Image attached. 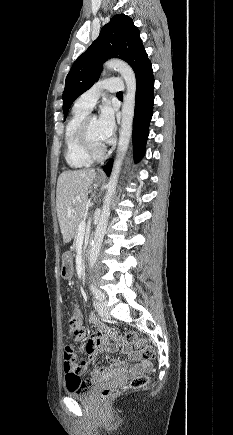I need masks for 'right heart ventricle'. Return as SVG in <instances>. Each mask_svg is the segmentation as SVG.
Segmentation results:
<instances>
[{
	"label": "right heart ventricle",
	"instance_id": "e07e8e85",
	"mask_svg": "<svg viewBox=\"0 0 233 435\" xmlns=\"http://www.w3.org/2000/svg\"><path fill=\"white\" fill-rule=\"evenodd\" d=\"M87 114V111L75 106L65 127V159L74 169L90 167L93 163L83 152L78 135L81 123Z\"/></svg>",
	"mask_w": 233,
	"mask_h": 435
}]
</instances>
